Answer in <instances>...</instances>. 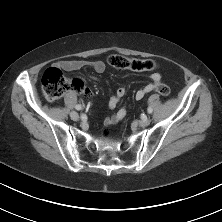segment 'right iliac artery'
<instances>
[{
  "mask_svg": "<svg viewBox=\"0 0 222 222\" xmlns=\"http://www.w3.org/2000/svg\"><path fill=\"white\" fill-rule=\"evenodd\" d=\"M75 109H76V110H81V109H82V106L78 104V105L75 106Z\"/></svg>",
  "mask_w": 222,
  "mask_h": 222,
  "instance_id": "82829eb1",
  "label": "right iliac artery"
}]
</instances>
